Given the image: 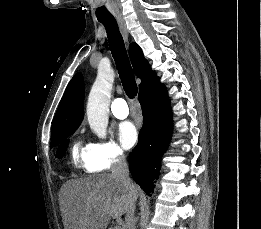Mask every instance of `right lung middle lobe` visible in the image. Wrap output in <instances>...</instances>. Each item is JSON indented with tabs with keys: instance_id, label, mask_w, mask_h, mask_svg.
<instances>
[{
	"instance_id": "obj_1",
	"label": "right lung middle lobe",
	"mask_w": 261,
	"mask_h": 229,
	"mask_svg": "<svg viewBox=\"0 0 261 229\" xmlns=\"http://www.w3.org/2000/svg\"><path fill=\"white\" fill-rule=\"evenodd\" d=\"M79 124L77 125H61L52 130V134L61 141V144L59 145L56 153L57 158H62L66 152L67 145L69 140H65L67 137H69L71 134L75 132V130L78 128Z\"/></svg>"
}]
</instances>
